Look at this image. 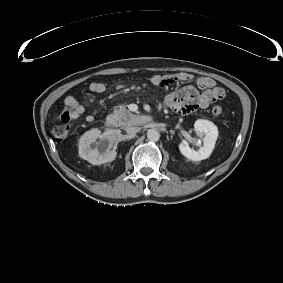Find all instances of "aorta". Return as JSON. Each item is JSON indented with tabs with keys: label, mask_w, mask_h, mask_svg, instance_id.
Masks as SVG:
<instances>
[{
	"label": "aorta",
	"mask_w": 283,
	"mask_h": 283,
	"mask_svg": "<svg viewBox=\"0 0 283 283\" xmlns=\"http://www.w3.org/2000/svg\"><path fill=\"white\" fill-rule=\"evenodd\" d=\"M147 138H148L149 141L156 142L160 139V133L156 129H150L147 132Z\"/></svg>",
	"instance_id": "aorta-1"
}]
</instances>
